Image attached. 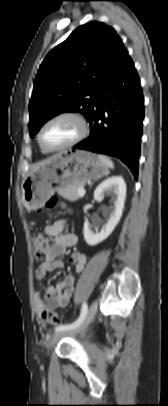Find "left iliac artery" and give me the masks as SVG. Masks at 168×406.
<instances>
[{"instance_id": "left-iliac-artery-1", "label": "left iliac artery", "mask_w": 168, "mask_h": 406, "mask_svg": "<svg viewBox=\"0 0 168 406\" xmlns=\"http://www.w3.org/2000/svg\"><path fill=\"white\" fill-rule=\"evenodd\" d=\"M88 311V305L86 302L83 303L82 308H81V313L80 316L78 317V319L76 321H74L73 323L70 324H64V325H59L55 328V331H62V330H70L73 329L75 327H77L79 324H81V322L84 320L86 314Z\"/></svg>"}]
</instances>
